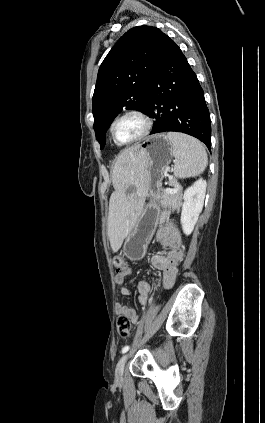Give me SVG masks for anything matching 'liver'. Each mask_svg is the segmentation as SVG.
Segmentation results:
<instances>
[{"mask_svg":"<svg viewBox=\"0 0 265 423\" xmlns=\"http://www.w3.org/2000/svg\"><path fill=\"white\" fill-rule=\"evenodd\" d=\"M140 145L125 149L112 170L115 191L109 201L108 237L113 252H117L140 215L148 195L147 156ZM133 188L134 192L128 193Z\"/></svg>","mask_w":265,"mask_h":423,"instance_id":"liver-1","label":"liver"}]
</instances>
